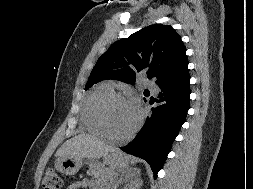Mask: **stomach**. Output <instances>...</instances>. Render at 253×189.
<instances>
[{"label":"stomach","mask_w":253,"mask_h":189,"mask_svg":"<svg viewBox=\"0 0 253 189\" xmlns=\"http://www.w3.org/2000/svg\"><path fill=\"white\" fill-rule=\"evenodd\" d=\"M103 164L111 169L125 168L128 166L127 158L119 152H110L103 156ZM83 165L81 157H59L56 160L55 168L66 175H74Z\"/></svg>","instance_id":"obj_1"}]
</instances>
